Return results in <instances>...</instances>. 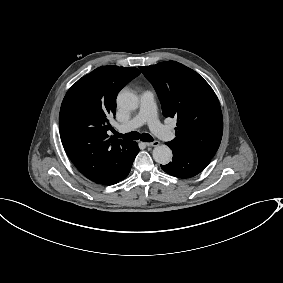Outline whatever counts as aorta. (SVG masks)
<instances>
[{"mask_svg":"<svg viewBox=\"0 0 283 283\" xmlns=\"http://www.w3.org/2000/svg\"><path fill=\"white\" fill-rule=\"evenodd\" d=\"M117 104L124 110H135L138 108V97L129 91H122L118 94ZM153 159L155 162L166 165L172 160V150L167 145H159L153 149Z\"/></svg>","mask_w":283,"mask_h":283,"instance_id":"obj_1","label":"aorta"}]
</instances>
